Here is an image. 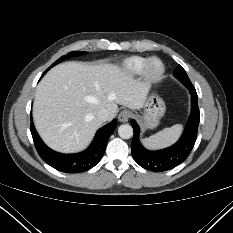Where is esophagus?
<instances>
[{
	"mask_svg": "<svg viewBox=\"0 0 233 233\" xmlns=\"http://www.w3.org/2000/svg\"><path fill=\"white\" fill-rule=\"evenodd\" d=\"M130 115H131V113L129 112V111H127V110H123V111H121L120 113H119V115H118V120L120 121V122H127L128 120H129V118H130Z\"/></svg>",
	"mask_w": 233,
	"mask_h": 233,
	"instance_id": "obj_1",
	"label": "esophagus"
}]
</instances>
